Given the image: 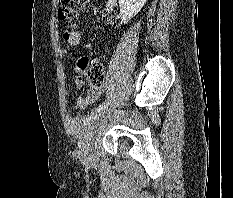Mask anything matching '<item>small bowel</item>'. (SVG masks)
I'll use <instances>...</instances> for the list:
<instances>
[{"mask_svg":"<svg viewBox=\"0 0 233 198\" xmlns=\"http://www.w3.org/2000/svg\"><path fill=\"white\" fill-rule=\"evenodd\" d=\"M80 59H82L84 61V63L83 64H78L77 63V68L83 73L85 68L89 64V60L86 57H82ZM82 85H83L82 79L81 78L76 79V86L81 87ZM102 93H103V87L102 86L91 87L88 90V92H87V94L85 96L77 98L76 106L78 108H80V109H85L88 106L95 103L101 97Z\"/></svg>","mask_w":233,"mask_h":198,"instance_id":"1","label":"small bowel"}]
</instances>
